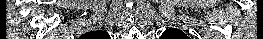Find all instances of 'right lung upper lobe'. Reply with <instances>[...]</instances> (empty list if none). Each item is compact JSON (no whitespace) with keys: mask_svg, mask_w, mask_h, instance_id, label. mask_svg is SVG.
<instances>
[{"mask_svg":"<svg viewBox=\"0 0 263 39\" xmlns=\"http://www.w3.org/2000/svg\"><path fill=\"white\" fill-rule=\"evenodd\" d=\"M108 34L104 31H91L82 36V39H106Z\"/></svg>","mask_w":263,"mask_h":39,"instance_id":"right-lung-upper-lobe-1","label":"right lung upper lobe"}]
</instances>
